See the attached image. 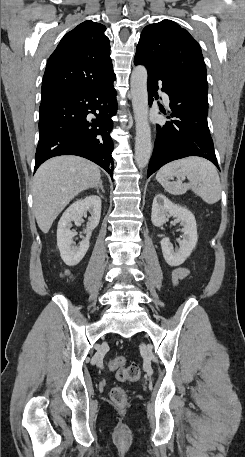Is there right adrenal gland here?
<instances>
[{
    "mask_svg": "<svg viewBox=\"0 0 245 457\" xmlns=\"http://www.w3.org/2000/svg\"><path fill=\"white\" fill-rule=\"evenodd\" d=\"M97 192H99V188H101L102 192H105L104 188H103V184H102V180H100L98 186H95Z\"/></svg>",
    "mask_w": 245,
    "mask_h": 457,
    "instance_id": "1",
    "label": "right adrenal gland"
}]
</instances>
